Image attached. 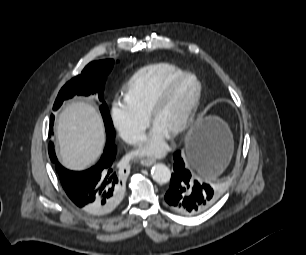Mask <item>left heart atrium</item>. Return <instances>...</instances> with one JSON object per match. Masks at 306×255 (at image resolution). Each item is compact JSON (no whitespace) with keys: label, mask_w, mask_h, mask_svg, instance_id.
<instances>
[{"label":"left heart atrium","mask_w":306,"mask_h":255,"mask_svg":"<svg viewBox=\"0 0 306 255\" xmlns=\"http://www.w3.org/2000/svg\"><path fill=\"white\" fill-rule=\"evenodd\" d=\"M170 133L154 124L150 134L143 144L135 151L138 156H161L167 148Z\"/></svg>","instance_id":"1"}]
</instances>
